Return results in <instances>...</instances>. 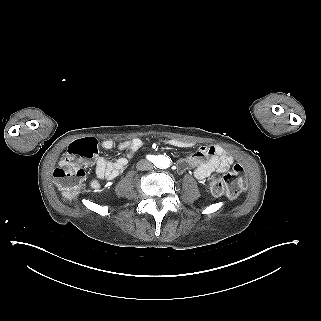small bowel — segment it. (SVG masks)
I'll return each instance as SVG.
<instances>
[{"mask_svg": "<svg viewBox=\"0 0 321 321\" xmlns=\"http://www.w3.org/2000/svg\"><path fill=\"white\" fill-rule=\"evenodd\" d=\"M164 142L176 148H191L194 145L190 141L176 139H168ZM142 145L143 142L139 138L125 140L118 145V150L126 153L128 158H132ZM102 147L106 150H111L115 147V142L111 139H106L102 142ZM127 163V158L124 157L112 161L99 157L94 163H88L87 166L95 168L99 180L111 181L124 172ZM232 163V156L220 146L203 145L192 154L180 159L177 163V168L179 171L193 169L195 178L205 181L214 172L222 173L227 171ZM91 185L95 188L98 187V180H93Z\"/></svg>", "mask_w": 321, "mask_h": 321, "instance_id": "1", "label": "small bowel"}]
</instances>
